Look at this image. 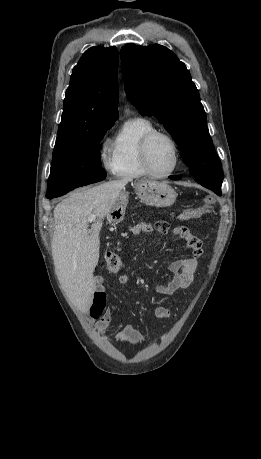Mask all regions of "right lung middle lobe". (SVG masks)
Wrapping results in <instances>:
<instances>
[{
    "mask_svg": "<svg viewBox=\"0 0 261 459\" xmlns=\"http://www.w3.org/2000/svg\"><path fill=\"white\" fill-rule=\"evenodd\" d=\"M114 123H103L56 139L46 197L52 199L70 190L102 181L99 144Z\"/></svg>",
    "mask_w": 261,
    "mask_h": 459,
    "instance_id": "1",
    "label": "right lung middle lobe"
}]
</instances>
